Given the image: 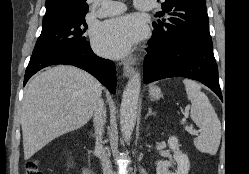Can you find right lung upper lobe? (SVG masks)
<instances>
[{
    "mask_svg": "<svg viewBox=\"0 0 249 174\" xmlns=\"http://www.w3.org/2000/svg\"><path fill=\"white\" fill-rule=\"evenodd\" d=\"M86 0H46L43 26L83 17L88 12Z\"/></svg>",
    "mask_w": 249,
    "mask_h": 174,
    "instance_id": "right-lung-upper-lobe-1",
    "label": "right lung upper lobe"
}]
</instances>
